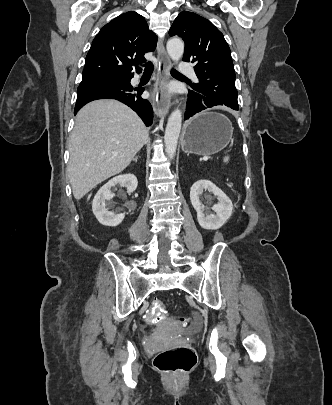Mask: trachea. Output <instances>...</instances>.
<instances>
[{"instance_id":"3493384b","label":"trachea","mask_w":332,"mask_h":405,"mask_svg":"<svg viewBox=\"0 0 332 405\" xmlns=\"http://www.w3.org/2000/svg\"><path fill=\"white\" fill-rule=\"evenodd\" d=\"M144 73L145 74H151L152 72H153V69H154V66H153V64L151 63V62H148V63H146L145 65H144ZM171 73L172 74H177V75H181L177 70H175V69H172L171 70Z\"/></svg>"}]
</instances>
